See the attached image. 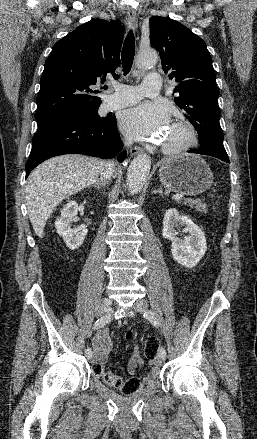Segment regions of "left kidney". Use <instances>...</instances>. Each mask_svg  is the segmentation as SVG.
Returning <instances> with one entry per match:
<instances>
[{
    "label": "left kidney",
    "instance_id": "obj_1",
    "mask_svg": "<svg viewBox=\"0 0 257 439\" xmlns=\"http://www.w3.org/2000/svg\"><path fill=\"white\" fill-rule=\"evenodd\" d=\"M176 225H183L188 236L183 239L177 238L174 230ZM162 235L172 242L173 258L187 268L195 267L207 250L202 230L190 218L180 215L174 208L168 209L165 213Z\"/></svg>",
    "mask_w": 257,
    "mask_h": 439
}]
</instances>
